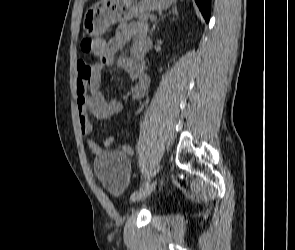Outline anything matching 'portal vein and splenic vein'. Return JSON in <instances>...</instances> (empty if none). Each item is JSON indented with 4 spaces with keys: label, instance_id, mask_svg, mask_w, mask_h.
I'll list each match as a JSON object with an SVG mask.
<instances>
[{
    "label": "portal vein and splenic vein",
    "instance_id": "obj_1",
    "mask_svg": "<svg viewBox=\"0 0 295 250\" xmlns=\"http://www.w3.org/2000/svg\"><path fill=\"white\" fill-rule=\"evenodd\" d=\"M150 19L151 20H156V17L155 16H152Z\"/></svg>",
    "mask_w": 295,
    "mask_h": 250
}]
</instances>
